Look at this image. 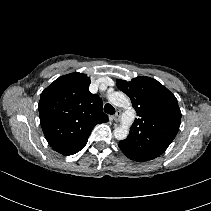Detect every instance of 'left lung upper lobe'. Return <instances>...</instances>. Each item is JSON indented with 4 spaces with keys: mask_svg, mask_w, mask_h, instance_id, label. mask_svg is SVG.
<instances>
[{
    "mask_svg": "<svg viewBox=\"0 0 211 211\" xmlns=\"http://www.w3.org/2000/svg\"><path fill=\"white\" fill-rule=\"evenodd\" d=\"M117 87L130 97L138 116L128 137L119 142L120 149L138 162L160 156L179 130L181 111L176 97L157 80L145 76L130 82L118 79Z\"/></svg>",
    "mask_w": 211,
    "mask_h": 211,
    "instance_id": "5c2ea615",
    "label": "left lung upper lobe"
}]
</instances>
